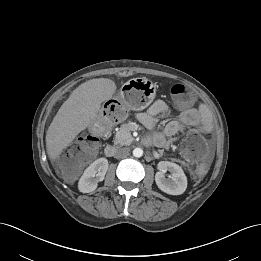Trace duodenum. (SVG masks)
Segmentation results:
<instances>
[{
	"label": "duodenum",
	"mask_w": 261,
	"mask_h": 261,
	"mask_svg": "<svg viewBox=\"0 0 261 261\" xmlns=\"http://www.w3.org/2000/svg\"><path fill=\"white\" fill-rule=\"evenodd\" d=\"M116 152V147L114 145H108L104 149V153L107 157H112Z\"/></svg>",
	"instance_id": "duodenum-1"
}]
</instances>
